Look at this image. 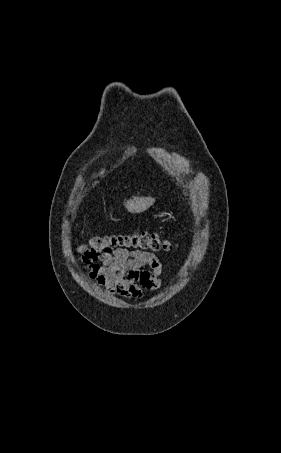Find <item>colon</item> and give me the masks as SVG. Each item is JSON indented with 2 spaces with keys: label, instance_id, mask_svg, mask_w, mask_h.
Returning a JSON list of instances; mask_svg holds the SVG:
<instances>
[{
  "label": "colon",
  "instance_id": "obj_1",
  "mask_svg": "<svg viewBox=\"0 0 281 453\" xmlns=\"http://www.w3.org/2000/svg\"><path fill=\"white\" fill-rule=\"evenodd\" d=\"M112 245H123L130 250L169 251L173 248L171 242L161 239L156 234L145 231L136 234H120L109 237H95L90 240L89 247L81 258L85 262H105L104 249H111Z\"/></svg>",
  "mask_w": 281,
  "mask_h": 453
}]
</instances>
